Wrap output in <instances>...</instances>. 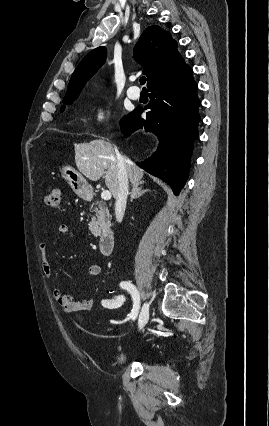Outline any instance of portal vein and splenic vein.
Segmentation results:
<instances>
[{
  "instance_id": "portal-vein-and-splenic-vein-1",
  "label": "portal vein and splenic vein",
  "mask_w": 269,
  "mask_h": 426,
  "mask_svg": "<svg viewBox=\"0 0 269 426\" xmlns=\"http://www.w3.org/2000/svg\"><path fill=\"white\" fill-rule=\"evenodd\" d=\"M111 197H112V195H111V192H110V191H108V190H104V191H102V193H101V198H102L103 200H110V199H111Z\"/></svg>"
}]
</instances>
